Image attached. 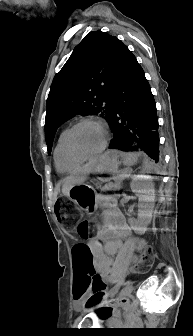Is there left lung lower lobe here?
<instances>
[{
	"mask_svg": "<svg viewBox=\"0 0 193 336\" xmlns=\"http://www.w3.org/2000/svg\"><path fill=\"white\" fill-rule=\"evenodd\" d=\"M113 139L110 149L143 150L159 160L156 104L140 64L127 48L111 95L108 120ZM136 142L137 148L132 146Z\"/></svg>",
	"mask_w": 193,
	"mask_h": 336,
	"instance_id": "0a47b994",
	"label": "left lung lower lobe"
}]
</instances>
